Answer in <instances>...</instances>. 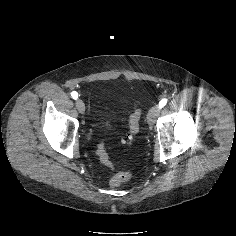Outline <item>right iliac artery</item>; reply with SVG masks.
<instances>
[{
	"mask_svg": "<svg viewBox=\"0 0 236 236\" xmlns=\"http://www.w3.org/2000/svg\"><path fill=\"white\" fill-rule=\"evenodd\" d=\"M71 96H72L73 99H77L78 98V93L76 91H73L71 93Z\"/></svg>",
	"mask_w": 236,
	"mask_h": 236,
	"instance_id": "1",
	"label": "right iliac artery"
}]
</instances>
